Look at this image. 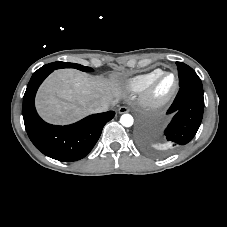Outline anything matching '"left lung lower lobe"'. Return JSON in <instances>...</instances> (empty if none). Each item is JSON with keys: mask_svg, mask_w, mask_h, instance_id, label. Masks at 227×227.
<instances>
[{"mask_svg": "<svg viewBox=\"0 0 227 227\" xmlns=\"http://www.w3.org/2000/svg\"><path fill=\"white\" fill-rule=\"evenodd\" d=\"M203 88L192 85L180 86L179 92L167 111L174 115L164 131V141L169 150H177L186 145L195 136L203 116ZM139 142L145 146L146 141L140 135Z\"/></svg>", "mask_w": 227, "mask_h": 227, "instance_id": "left-lung-lower-lobe-1", "label": "left lung lower lobe"}]
</instances>
